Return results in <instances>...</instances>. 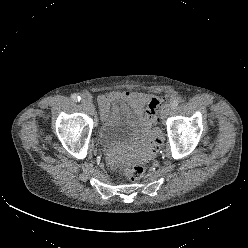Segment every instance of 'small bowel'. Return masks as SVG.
Returning a JSON list of instances; mask_svg holds the SVG:
<instances>
[{
  "label": "small bowel",
  "mask_w": 248,
  "mask_h": 248,
  "mask_svg": "<svg viewBox=\"0 0 248 248\" xmlns=\"http://www.w3.org/2000/svg\"><path fill=\"white\" fill-rule=\"evenodd\" d=\"M148 94L140 92H107L102 94L99 99V107L103 118H106L112 111L113 104L118 100H123L129 104L133 112L141 116L144 110H147L152 99ZM147 138L152 148H156L160 143V135L157 130H148ZM117 160V154L114 152L109 154V161L114 163Z\"/></svg>",
  "instance_id": "obj_1"
}]
</instances>
